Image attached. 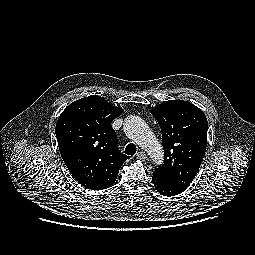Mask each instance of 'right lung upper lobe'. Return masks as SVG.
<instances>
[{
  "mask_svg": "<svg viewBox=\"0 0 255 255\" xmlns=\"http://www.w3.org/2000/svg\"><path fill=\"white\" fill-rule=\"evenodd\" d=\"M122 112L101 96L92 95L71 103L58 118L59 151L69 172L86 189L111 187L129 158L120 152L111 126Z\"/></svg>",
  "mask_w": 255,
  "mask_h": 255,
  "instance_id": "obj_1",
  "label": "right lung upper lobe"
}]
</instances>
